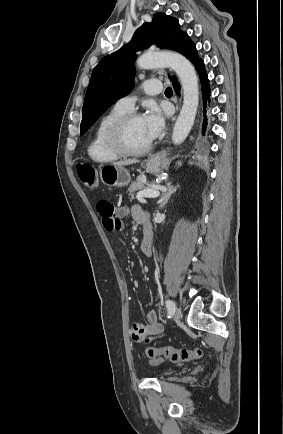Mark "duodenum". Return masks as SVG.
Here are the masks:
<instances>
[{
    "label": "duodenum",
    "instance_id": "obj_1",
    "mask_svg": "<svg viewBox=\"0 0 283 434\" xmlns=\"http://www.w3.org/2000/svg\"><path fill=\"white\" fill-rule=\"evenodd\" d=\"M143 228H144V242H151L152 241V231L149 227V225H147L146 223L142 224Z\"/></svg>",
    "mask_w": 283,
    "mask_h": 434
}]
</instances>
